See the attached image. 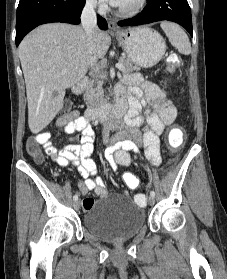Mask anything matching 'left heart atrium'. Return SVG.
Masks as SVG:
<instances>
[{"instance_id":"left-heart-atrium-1","label":"left heart atrium","mask_w":227,"mask_h":279,"mask_svg":"<svg viewBox=\"0 0 227 279\" xmlns=\"http://www.w3.org/2000/svg\"><path fill=\"white\" fill-rule=\"evenodd\" d=\"M113 6H119L123 0H105Z\"/></svg>"}]
</instances>
